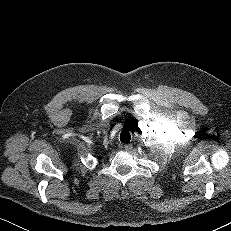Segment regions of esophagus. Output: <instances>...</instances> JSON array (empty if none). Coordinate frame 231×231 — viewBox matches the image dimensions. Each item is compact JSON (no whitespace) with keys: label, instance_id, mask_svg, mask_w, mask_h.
Masks as SVG:
<instances>
[{"label":"esophagus","instance_id":"obj_1","mask_svg":"<svg viewBox=\"0 0 231 231\" xmlns=\"http://www.w3.org/2000/svg\"><path fill=\"white\" fill-rule=\"evenodd\" d=\"M132 148H133L132 144H126V145H124V149H125L126 151H131Z\"/></svg>","mask_w":231,"mask_h":231}]
</instances>
